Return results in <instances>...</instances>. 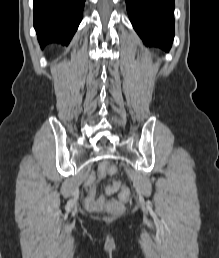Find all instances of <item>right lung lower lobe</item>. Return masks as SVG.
<instances>
[{"label": "right lung lower lobe", "mask_w": 219, "mask_h": 258, "mask_svg": "<svg viewBox=\"0 0 219 258\" xmlns=\"http://www.w3.org/2000/svg\"><path fill=\"white\" fill-rule=\"evenodd\" d=\"M85 0H34V28L40 46H67L83 16Z\"/></svg>", "instance_id": "98d812e1"}]
</instances>
